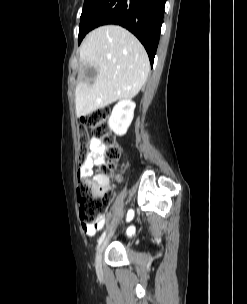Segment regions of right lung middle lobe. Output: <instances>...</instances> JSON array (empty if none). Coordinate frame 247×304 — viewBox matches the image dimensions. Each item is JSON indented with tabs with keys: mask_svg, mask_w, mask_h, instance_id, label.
Wrapping results in <instances>:
<instances>
[{
	"mask_svg": "<svg viewBox=\"0 0 247 304\" xmlns=\"http://www.w3.org/2000/svg\"><path fill=\"white\" fill-rule=\"evenodd\" d=\"M100 0H84V6H83V10H82V14H81V22L82 20L93 10V8L97 5V3ZM81 22H80V26H79V39H82V37L84 36L83 32L84 29L83 27H81Z\"/></svg>",
	"mask_w": 247,
	"mask_h": 304,
	"instance_id": "right-lung-middle-lobe-1",
	"label": "right lung middle lobe"
}]
</instances>
